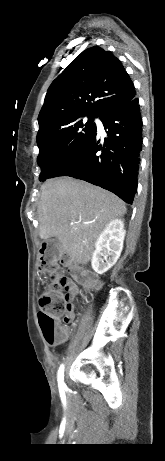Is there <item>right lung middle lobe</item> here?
<instances>
[{
    "label": "right lung middle lobe",
    "instance_id": "right-lung-middle-lobe-1",
    "mask_svg": "<svg viewBox=\"0 0 165 461\" xmlns=\"http://www.w3.org/2000/svg\"><path fill=\"white\" fill-rule=\"evenodd\" d=\"M75 117L46 130L37 137V145L40 153L38 165L41 168L39 180L45 181L73 156L92 136L96 130V124L92 116H88V122L83 123Z\"/></svg>",
    "mask_w": 165,
    "mask_h": 461
}]
</instances>
